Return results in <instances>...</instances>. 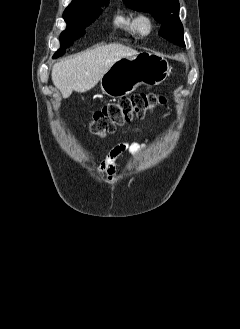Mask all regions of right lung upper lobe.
I'll list each match as a JSON object with an SVG mask.
<instances>
[{"label":"right lung upper lobe","mask_w":240,"mask_h":329,"mask_svg":"<svg viewBox=\"0 0 240 329\" xmlns=\"http://www.w3.org/2000/svg\"><path fill=\"white\" fill-rule=\"evenodd\" d=\"M100 1H108V0H73L67 8L92 6Z\"/></svg>","instance_id":"1"}]
</instances>
